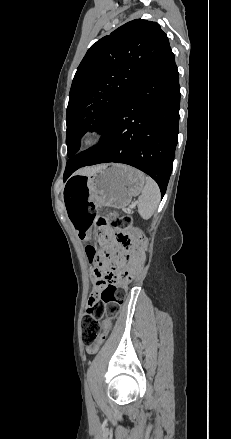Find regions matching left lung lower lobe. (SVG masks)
Segmentation results:
<instances>
[{"mask_svg": "<svg viewBox=\"0 0 231 439\" xmlns=\"http://www.w3.org/2000/svg\"><path fill=\"white\" fill-rule=\"evenodd\" d=\"M179 109V74L170 51L127 94L100 143L68 160V175L87 165L124 163L151 176L163 197L178 142Z\"/></svg>", "mask_w": 231, "mask_h": 439, "instance_id": "1", "label": "left lung lower lobe"}]
</instances>
